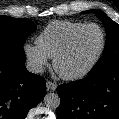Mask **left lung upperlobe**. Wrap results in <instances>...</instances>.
<instances>
[{
	"label": "left lung upper lobe",
	"mask_w": 119,
	"mask_h": 119,
	"mask_svg": "<svg viewBox=\"0 0 119 119\" xmlns=\"http://www.w3.org/2000/svg\"><path fill=\"white\" fill-rule=\"evenodd\" d=\"M83 13H95L103 22L107 33L103 55L90 72L102 74L119 66V24L99 10H88Z\"/></svg>",
	"instance_id": "1"
}]
</instances>
